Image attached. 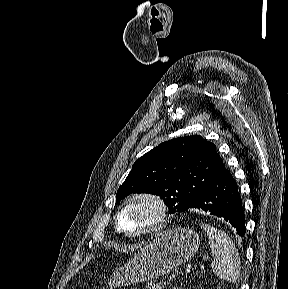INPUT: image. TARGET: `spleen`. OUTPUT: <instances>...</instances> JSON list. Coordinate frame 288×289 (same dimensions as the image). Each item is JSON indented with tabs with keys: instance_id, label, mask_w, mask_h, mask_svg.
Masks as SVG:
<instances>
[{
	"instance_id": "1",
	"label": "spleen",
	"mask_w": 288,
	"mask_h": 289,
	"mask_svg": "<svg viewBox=\"0 0 288 289\" xmlns=\"http://www.w3.org/2000/svg\"><path fill=\"white\" fill-rule=\"evenodd\" d=\"M201 227L209 239V245L213 254L211 268L220 279L236 284L241 277L240 258L230 237L221 230H217L207 224Z\"/></svg>"
}]
</instances>
